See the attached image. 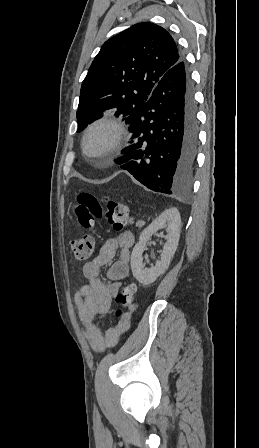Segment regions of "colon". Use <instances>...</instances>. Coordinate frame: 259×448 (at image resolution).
Segmentation results:
<instances>
[{
	"instance_id": "obj_1",
	"label": "colon",
	"mask_w": 259,
	"mask_h": 448,
	"mask_svg": "<svg viewBox=\"0 0 259 448\" xmlns=\"http://www.w3.org/2000/svg\"><path fill=\"white\" fill-rule=\"evenodd\" d=\"M105 203L106 208H103L100 200L90 192H81L78 195L74 213L79 226L86 233L72 242L71 247L75 260L84 261L92 255L95 248L93 233L98 219H106L115 230H121L131 223L132 217L126 204L111 199H105ZM135 292V286L129 284L116 295V301L119 305V309L116 311L118 319H123L128 308L133 306Z\"/></svg>"
}]
</instances>
